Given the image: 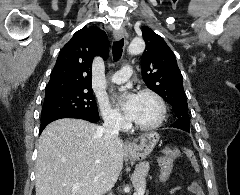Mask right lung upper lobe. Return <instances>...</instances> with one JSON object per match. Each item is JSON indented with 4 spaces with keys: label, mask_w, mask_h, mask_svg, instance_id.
I'll use <instances>...</instances> for the list:
<instances>
[{
    "label": "right lung upper lobe",
    "mask_w": 240,
    "mask_h": 195,
    "mask_svg": "<svg viewBox=\"0 0 240 195\" xmlns=\"http://www.w3.org/2000/svg\"><path fill=\"white\" fill-rule=\"evenodd\" d=\"M109 54L107 35L99 28L77 31L58 55L46 95L68 90H92V61Z\"/></svg>",
    "instance_id": "obj_1"
}]
</instances>
